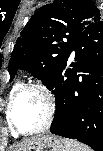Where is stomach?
Returning a JSON list of instances; mask_svg holds the SVG:
<instances>
[{"instance_id":"stomach-1","label":"stomach","mask_w":103,"mask_h":151,"mask_svg":"<svg viewBox=\"0 0 103 151\" xmlns=\"http://www.w3.org/2000/svg\"><path fill=\"white\" fill-rule=\"evenodd\" d=\"M26 151H66L62 139L53 135L36 137Z\"/></svg>"}]
</instances>
